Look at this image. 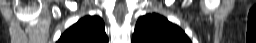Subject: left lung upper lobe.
<instances>
[{
    "mask_svg": "<svg viewBox=\"0 0 256 43\" xmlns=\"http://www.w3.org/2000/svg\"><path fill=\"white\" fill-rule=\"evenodd\" d=\"M132 43H191L184 31L159 14L138 19Z\"/></svg>",
    "mask_w": 256,
    "mask_h": 43,
    "instance_id": "1",
    "label": "left lung upper lobe"
}]
</instances>
